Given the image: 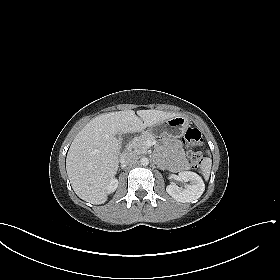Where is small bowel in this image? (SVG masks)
<instances>
[{
	"label": "small bowel",
	"instance_id": "c3829d8e",
	"mask_svg": "<svg viewBox=\"0 0 280 280\" xmlns=\"http://www.w3.org/2000/svg\"><path fill=\"white\" fill-rule=\"evenodd\" d=\"M172 151H173L175 156H178L182 152V149H181V147L178 143H173ZM170 167L173 170L182 171V170H185L187 168V164L183 159L177 158L171 163Z\"/></svg>",
	"mask_w": 280,
	"mask_h": 280
}]
</instances>
